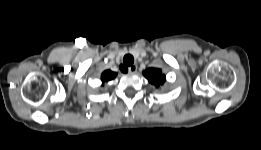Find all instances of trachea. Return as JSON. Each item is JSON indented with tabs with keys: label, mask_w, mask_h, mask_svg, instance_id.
<instances>
[{
	"label": "trachea",
	"mask_w": 261,
	"mask_h": 150,
	"mask_svg": "<svg viewBox=\"0 0 261 150\" xmlns=\"http://www.w3.org/2000/svg\"><path fill=\"white\" fill-rule=\"evenodd\" d=\"M123 62H124V64H125V66H121V67H120V69H121L122 71H124V70L127 68L126 66H131V65L134 63V58H133L132 55L127 54V55L124 56Z\"/></svg>",
	"instance_id": "obj_1"
}]
</instances>
